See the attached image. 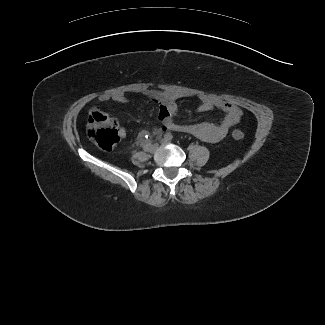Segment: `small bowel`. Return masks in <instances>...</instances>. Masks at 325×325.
Returning <instances> with one entry per match:
<instances>
[{"instance_id": "1", "label": "small bowel", "mask_w": 325, "mask_h": 325, "mask_svg": "<svg viewBox=\"0 0 325 325\" xmlns=\"http://www.w3.org/2000/svg\"><path fill=\"white\" fill-rule=\"evenodd\" d=\"M142 94L159 105L158 117L163 124V129L188 133L205 142L215 143L222 140L230 128L238 123L242 114L241 110L232 103L208 95H198L196 96L200 102L198 111L207 112L216 108L225 113L224 118L217 124L212 122L182 124L174 119L178 110L177 101L194 97L193 94L176 90L164 91L157 89H145ZM98 101L102 103L109 101L128 103L130 100L124 92L110 91L99 95ZM92 111L101 112L98 107H93L90 112ZM119 133L122 138L126 136L124 128H120Z\"/></svg>"}]
</instances>
